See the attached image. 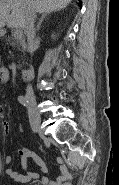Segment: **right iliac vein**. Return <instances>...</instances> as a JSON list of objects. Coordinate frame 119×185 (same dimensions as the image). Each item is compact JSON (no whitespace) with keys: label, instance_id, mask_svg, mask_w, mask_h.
<instances>
[{"label":"right iliac vein","instance_id":"1","mask_svg":"<svg viewBox=\"0 0 119 185\" xmlns=\"http://www.w3.org/2000/svg\"><path fill=\"white\" fill-rule=\"evenodd\" d=\"M29 107L31 109V113H36V124H33L35 125L37 131L40 133V134H43V130L41 129V115H40V112L36 106V102L33 98H30L29 99ZM30 118V117H29Z\"/></svg>","mask_w":119,"mask_h":185}]
</instances>
